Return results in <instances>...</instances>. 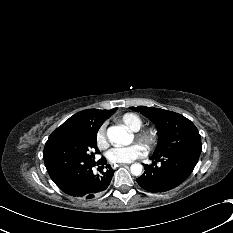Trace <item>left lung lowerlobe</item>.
<instances>
[{
	"label": "left lung lower lobe",
	"instance_id": "left-lung-lower-lobe-1",
	"mask_svg": "<svg viewBox=\"0 0 233 233\" xmlns=\"http://www.w3.org/2000/svg\"><path fill=\"white\" fill-rule=\"evenodd\" d=\"M159 167L144 165L145 172L137 178V183L149 192H166L183 183L192 173L197 162L176 154L153 155ZM155 165V162H153Z\"/></svg>",
	"mask_w": 233,
	"mask_h": 233
}]
</instances>
